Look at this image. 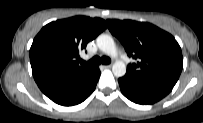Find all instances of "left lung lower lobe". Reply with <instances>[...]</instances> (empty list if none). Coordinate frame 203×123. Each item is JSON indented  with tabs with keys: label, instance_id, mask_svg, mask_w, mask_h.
<instances>
[{
	"label": "left lung lower lobe",
	"instance_id": "1",
	"mask_svg": "<svg viewBox=\"0 0 203 123\" xmlns=\"http://www.w3.org/2000/svg\"><path fill=\"white\" fill-rule=\"evenodd\" d=\"M121 92L132 102L141 105L153 104L167 94L173 87L156 81L135 77L125 74L118 80Z\"/></svg>",
	"mask_w": 203,
	"mask_h": 123
}]
</instances>
